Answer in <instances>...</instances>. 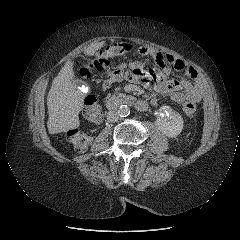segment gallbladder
Segmentation results:
<instances>
[{"instance_id":"bac80fb5","label":"gallbladder","mask_w":240,"mask_h":240,"mask_svg":"<svg viewBox=\"0 0 240 240\" xmlns=\"http://www.w3.org/2000/svg\"><path fill=\"white\" fill-rule=\"evenodd\" d=\"M74 83L76 84V86H81V85H83V81L78 80V79L74 80Z\"/></svg>"}]
</instances>
